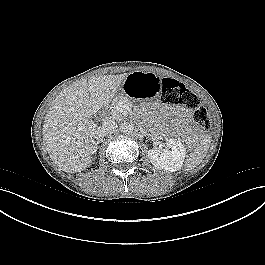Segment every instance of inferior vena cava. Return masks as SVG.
<instances>
[{
    "label": "inferior vena cava",
    "mask_w": 265,
    "mask_h": 265,
    "mask_svg": "<svg viewBox=\"0 0 265 265\" xmlns=\"http://www.w3.org/2000/svg\"><path fill=\"white\" fill-rule=\"evenodd\" d=\"M117 124L113 120L105 121L102 126L98 128V135L107 136L115 132Z\"/></svg>",
    "instance_id": "obj_1"
}]
</instances>
